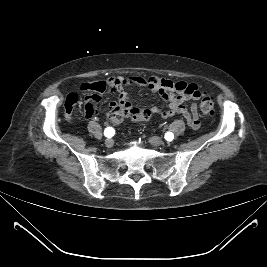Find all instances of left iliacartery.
<instances>
[{
	"label": "left iliac artery",
	"instance_id": "1",
	"mask_svg": "<svg viewBox=\"0 0 267 267\" xmlns=\"http://www.w3.org/2000/svg\"><path fill=\"white\" fill-rule=\"evenodd\" d=\"M173 138H174L173 133H171V132H167V133L165 134V139H166L167 141H172Z\"/></svg>",
	"mask_w": 267,
	"mask_h": 267
}]
</instances>
